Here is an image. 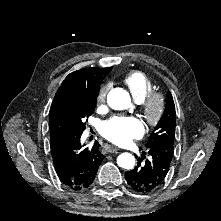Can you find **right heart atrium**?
<instances>
[{
  "label": "right heart atrium",
  "instance_id": "right-heart-atrium-1",
  "mask_svg": "<svg viewBox=\"0 0 221 221\" xmlns=\"http://www.w3.org/2000/svg\"><path fill=\"white\" fill-rule=\"evenodd\" d=\"M109 89H110L109 84H106L99 89L98 94H97V103L99 105L105 102Z\"/></svg>",
  "mask_w": 221,
  "mask_h": 221
}]
</instances>
